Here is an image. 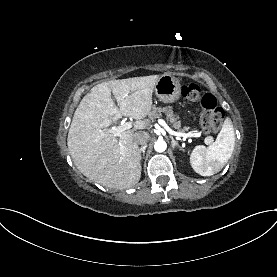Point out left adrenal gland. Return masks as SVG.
Wrapping results in <instances>:
<instances>
[{"label": "left adrenal gland", "mask_w": 277, "mask_h": 277, "mask_svg": "<svg viewBox=\"0 0 277 277\" xmlns=\"http://www.w3.org/2000/svg\"><path fill=\"white\" fill-rule=\"evenodd\" d=\"M171 141H172V148L175 149V147H178L180 150L184 151V149L178 144V142L172 137L170 136Z\"/></svg>", "instance_id": "obj_1"}]
</instances>
